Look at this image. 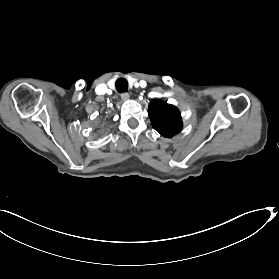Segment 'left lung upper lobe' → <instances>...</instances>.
<instances>
[{
	"label": "left lung upper lobe",
	"instance_id": "5c2ea615",
	"mask_svg": "<svg viewBox=\"0 0 279 279\" xmlns=\"http://www.w3.org/2000/svg\"><path fill=\"white\" fill-rule=\"evenodd\" d=\"M148 114L154 129L164 137L174 136L182 127L178 109L160 100L150 103Z\"/></svg>",
	"mask_w": 279,
	"mask_h": 279
}]
</instances>
